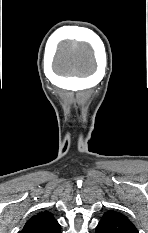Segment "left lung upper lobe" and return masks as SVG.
<instances>
[{
    "instance_id": "left-lung-upper-lobe-1",
    "label": "left lung upper lobe",
    "mask_w": 148,
    "mask_h": 233,
    "mask_svg": "<svg viewBox=\"0 0 148 233\" xmlns=\"http://www.w3.org/2000/svg\"><path fill=\"white\" fill-rule=\"evenodd\" d=\"M96 233H138V230L126 216L111 210L103 215Z\"/></svg>"
}]
</instances>
